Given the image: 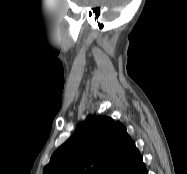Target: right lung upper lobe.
Wrapping results in <instances>:
<instances>
[{
	"label": "right lung upper lobe",
	"instance_id": "obj_1",
	"mask_svg": "<svg viewBox=\"0 0 187 174\" xmlns=\"http://www.w3.org/2000/svg\"><path fill=\"white\" fill-rule=\"evenodd\" d=\"M144 169L138 149L120 122L88 116L51 156L43 174H138Z\"/></svg>",
	"mask_w": 187,
	"mask_h": 174
}]
</instances>
